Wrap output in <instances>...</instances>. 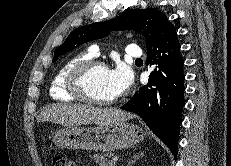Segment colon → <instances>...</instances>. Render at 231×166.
Listing matches in <instances>:
<instances>
[{"instance_id":"5ec220e1","label":"colon","mask_w":231,"mask_h":166,"mask_svg":"<svg viewBox=\"0 0 231 166\" xmlns=\"http://www.w3.org/2000/svg\"><path fill=\"white\" fill-rule=\"evenodd\" d=\"M53 166H78L74 161L57 156L53 158Z\"/></svg>"}]
</instances>
